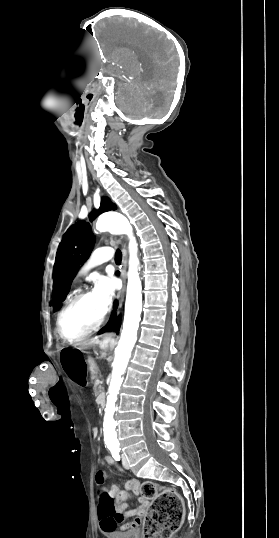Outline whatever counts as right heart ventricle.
Wrapping results in <instances>:
<instances>
[{
  "label": "right heart ventricle",
  "instance_id": "1",
  "mask_svg": "<svg viewBox=\"0 0 279 538\" xmlns=\"http://www.w3.org/2000/svg\"><path fill=\"white\" fill-rule=\"evenodd\" d=\"M98 219H95L92 225L93 231L95 232L96 225H97Z\"/></svg>",
  "mask_w": 279,
  "mask_h": 538
}]
</instances>
